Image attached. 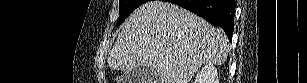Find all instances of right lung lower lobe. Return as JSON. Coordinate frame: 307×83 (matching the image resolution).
Wrapping results in <instances>:
<instances>
[{
	"mask_svg": "<svg viewBox=\"0 0 307 83\" xmlns=\"http://www.w3.org/2000/svg\"><path fill=\"white\" fill-rule=\"evenodd\" d=\"M207 20L215 27H221L229 39L234 30V13L236 2L234 0H171Z\"/></svg>",
	"mask_w": 307,
	"mask_h": 83,
	"instance_id": "obj_1",
	"label": "right lung lower lobe"
}]
</instances>
